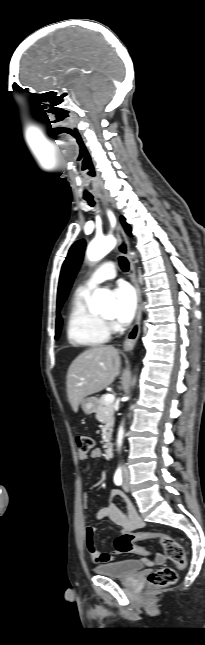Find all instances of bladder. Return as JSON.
I'll list each match as a JSON object with an SVG mask.
<instances>
[{"label": "bladder", "mask_w": 205, "mask_h": 645, "mask_svg": "<svg viewBox=\"0 0 205 645\" xmlns=\"http://www.w3.org/2000/svg\"><path fill=\"white\" fill-rule=\"evenodd\" d=\"M144 568V564L137 559H125L97 565L94 570L96 573L113 577L128 578Z\"/></svg>", "instance_id": "obj_1"}]
</instances>
